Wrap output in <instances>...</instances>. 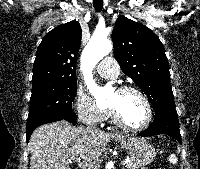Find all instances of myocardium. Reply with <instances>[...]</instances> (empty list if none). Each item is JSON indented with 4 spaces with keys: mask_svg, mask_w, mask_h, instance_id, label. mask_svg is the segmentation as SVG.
I'll use <instances>...</instances> for the list:
<instances>
[{
    "mask_svg": "<svg viewBox=\"0 0 200 169\" xmlns=\"http://www.w3.org/2000/svg\"><path fill=\"white\" fill-rule=\"evenodd\" d=\"M116 92L118 93L133 92L139 95L146 105L147 118H146V121L140 126H137V127L129 126L121 120L118 112L113 107L108 106L109 115L113 123L123 128L124 130L131 131V132H139L148 128L153 120V107L148 96L140 88L136 86H132V85L119 86L116 89Z\"/></svg>",
    "mask_w": 200,
    "mask_h": 169,
    "instance_id": "1",
    "label": "myocardium"
}]
</instances>
